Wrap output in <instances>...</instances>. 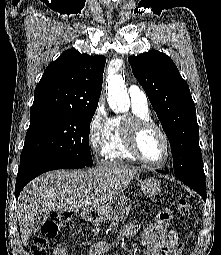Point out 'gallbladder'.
<instances>
[{"label":"gallbladder","instance_id":"obj_1","mask_svg":"<svg viewBox=\"0 0 221 255\" xmlns=\"http://www.w3.org/2000/svg\"><path fill=\"white\" fill-rule=\"evenodd\" d=\"M47 218H48V213H43L37 216L33 225V231L37 232L41 228V226L46 222Z\"/></svg>","mask_w":221,"mask_h":255}]
</instances>
